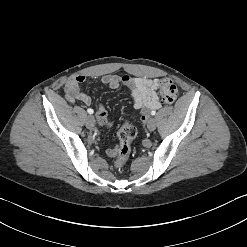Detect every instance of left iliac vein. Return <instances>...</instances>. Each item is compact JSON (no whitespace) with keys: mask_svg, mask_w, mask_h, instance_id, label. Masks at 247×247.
I'll list each match as a JSON object with an SVG mask.
<instances>
[{"mask_svg":"<svg viewBox=\"0 0 247 247\" xmlns=\"http://www.w3.org/2000/svg\"><path fill=\"white\" fill-rule=\"evenodd\" d=\"M147 128L149 131H154L156 128V121L153 117L148 120Z\"/></svg>","mask_w":247,"mask_h":247,"instance_id":"4c4485c4","label":"left iliac vein"}]
</instances>
